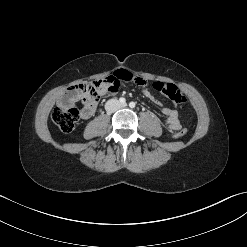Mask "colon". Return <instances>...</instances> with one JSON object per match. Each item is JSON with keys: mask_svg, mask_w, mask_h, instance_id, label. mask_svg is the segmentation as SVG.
<instances>
[{"mask_svg": "<svg viewBox=\"0 0 247 247\" xmlns=\"http://www.w3.org/2000/svg\"><path fill=\"white\" fill-rule=\"evenodd\" d=\"M136 84L142 82V78L136 77L134 79ZM120 80L113 76H108L102 80L86 83L76 86L72 91L68 92L60 101V103L53 109L51 118L52 121L65 133L72 132L79 119L80 110L75 104L74 100L77 94L83 96V102L88 105L97 103L100 92L103 89H115L119 87ZM153 87L166 97H168L175 104L186 103V97L177 89V87L170 83L154 82ZM186 135V130H179L173 133L174 138H182Z\"/></svg>", "mask_w": 247, "mask_h": 247, "instance_id": "5ec220e1", "label": "colon"}]
</instances>
